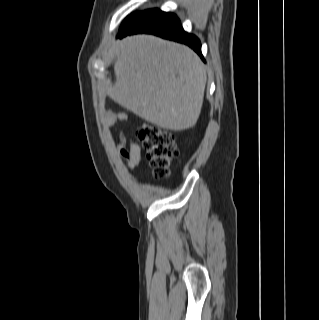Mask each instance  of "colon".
I'll use <instances>...</instances> for the list:
<instances>
[{
	"label": "colon",
	"instance_id": "colon-1",
	"mask_svg": "<svg viewBox=\"0 0 319 320\" xmlns=\"http://www.w3.org/2000/svg\"><path fill=\"white\" fill-rule=\"evenodd\" d=\"M136 136L146 152L154 175L165 178L172 160L178 154L174 135L156 125L143 123L136 129Z\"/></svg>",
	"mask_w": 319,
	"mask_h": 320
}]
</instances>
